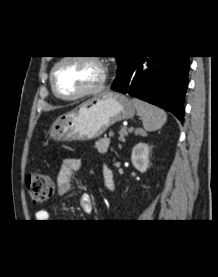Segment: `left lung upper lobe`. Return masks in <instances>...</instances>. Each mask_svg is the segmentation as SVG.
Here are the masks:
<instances>
[{
  "label": "left lung upper lobe",
  "instance_id": "1",
  "mask_svg": "<svg viewBox=\"0 0 218 277\" xmlns=\"http://www.w3.org/2000/svg\"><path fill=\"white\" fill-rule=\"evenodd\" d=\"M115 57L118 63V70H117V74H118L121 71H123V69L125 68L126 64L131 59L132 56L127 55V56H115Z\"/></svg>",
  "mask_w": 218,
  "mask_h": 277
}]
</instances>
